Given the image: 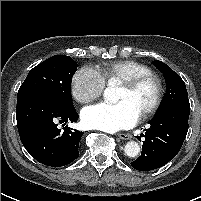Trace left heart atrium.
<instances>
[{
  "label": "left heart atrium",
  "mask_w": 201,
  "mask_h": 201,
  "mask_svg": "<svg viewBox=\"0 0 201 201\" xmlns=\"http://www.w3.org/2000/svg\"><path fill=\"white\" fill-rule=\"evenodd\" d=\"M137 111L126 101L117 103H99L82 110L83 124L92 129L116 132L136 124L139 119Z\"/></svg>",
  "instance_id": "obj_1"
}]
</instances>
